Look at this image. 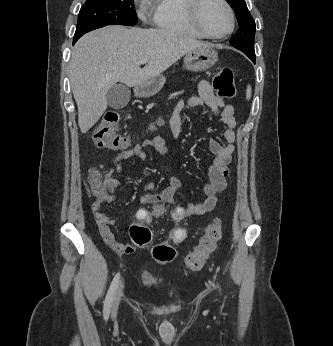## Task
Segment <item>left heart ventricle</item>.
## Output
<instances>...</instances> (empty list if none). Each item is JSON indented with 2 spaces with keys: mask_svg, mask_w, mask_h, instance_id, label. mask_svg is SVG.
<instances>
[{
  "mask_svg": "<svg viewBox=\"0 0 333 346\" xmlns=\"http://www.w3.org/2000/svg\"><path fill=\"white\" fill-rule=\"evenodd\" d=\"M204 27L213 34H223L230 27V18L225 6L218 0H207L201 10Z\"/></svg>",
  "mask_w": 333,
  "mask_h": 346,
  "instance_id": "1",
  "label": "left heart ventricle"
}]
</instances>
